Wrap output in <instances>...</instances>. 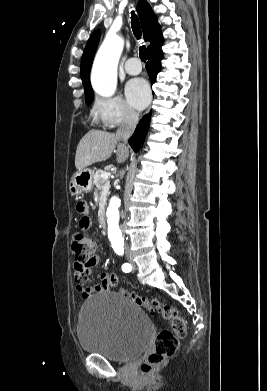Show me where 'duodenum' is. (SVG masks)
Segmentation results:
<instances>
[{
    "label": "duodenum",
    "mask_w": 267,
    "mask_h": 391,
    "mask_svg": "<svg viewBox=\"0 0 267 391\" xmlns=\"http://www.w3.org/2000/svg\"><path fill=\"white\" fill-rule=\"evenodd\" d=\"M99 224H100V227H101L102 229H106V227H107V222H106V217H105L103 211H101V212L99 213Z\"/></svg>",
    "instance_id": "obj_1"
}]
</instances>
